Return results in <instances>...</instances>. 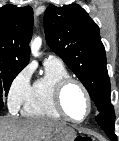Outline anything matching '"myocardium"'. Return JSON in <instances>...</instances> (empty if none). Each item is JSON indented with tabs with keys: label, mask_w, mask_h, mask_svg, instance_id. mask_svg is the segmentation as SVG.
<instances>
[{
	"label": "myocardium",
	"mask_w": 119,
	"mask_h": 141,
	"mask_svg": "<svg viewBox=\"0 0 119 141\" xmlns=\"http://www.w3.org/2000/svg\"><path fill=\"white\" fill-rule=\"evenodd\" d=\"M75 84L77 85L85 95L86 101H87V112L85 116L81 120H76L71 118L65 111L64 106H63V95L65 90L67 89L68 86ZM53 102L56 111L58 114L64 118L65 120L72 122V123H82L87 120V118L90 116L91 111H92V99L90 96V93L86 86L78 79L73 78V77H66L58 81L54 87L53 91Z\"/></svg>",
	"instance_id": "1"
}]
</instances>
